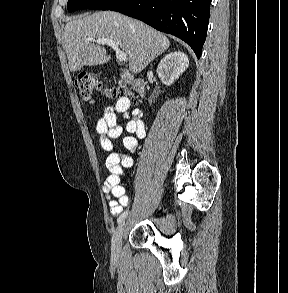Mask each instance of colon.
<instances>
[{
    "instance_id": "colon-1",
    "label": "colon",
    "mask_w": 288,
    "mask_h": 293,
    "mask_svg": "<svg viewBox=\"0 0 288 293\" xmlns=\"http://www.w3.org/2000/svg\"><path fill=\"white\" fill-rule=\"evenodd\" d=\"M80 96L89 102H94L97 96L104 93L109 98H126L132 102L136 101V94L127 86L118 84L109 88H103L97 77L90 74L80 75L75 81Z\"/></svg>"
}]
</instances>
